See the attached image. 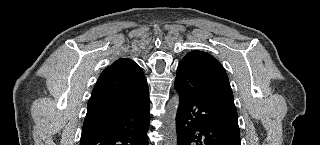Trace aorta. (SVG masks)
Here are the masks:
<instances>
[{"mask_svg": "<svg viewBox=\"0 0 320 145\" xmlns=\"http://www.w3.org/2000/svg\"><path fill=\"white\" fill-rule=\"evenodd\" d=\"M179 106V96L174 95L167 105V111L164 115V134L165 145H176V114Z\"/></svg>", "mask_w": 320, "mask_h": 145, "instance_id": "obj_1", "label": "aorta"}]
</instances>
